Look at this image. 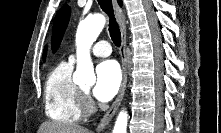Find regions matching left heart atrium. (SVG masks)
<instances>
[{"instance_id":"39dd6f15","label":"left heart atrium","mask_w":221,"mask_h":133,"mask_svg":"<svg viewBox=\"0 0 221 133\" xmlns=\"http://www.w3.org/2000/svg\"><path fill=\"white\" fill-rule=\"evenodd\" d=\"M121 82L119 67L115 61L107 60L96 67V84L93 95L102 102L111 100L117 93Z\"/></svg>"}]
</instances>
